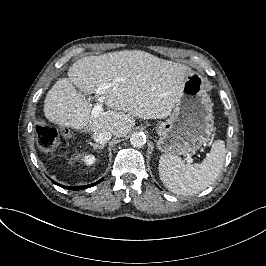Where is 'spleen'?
I'll return each mask as SVG.
<instances>
[{"label": "spleen", "instance_id": "3e777b00", "mask_svg": "<svg viewBox=\"0 0 266 266\" xmlns=\"http://www.w3.org/2000/svg\"><path fill=\"white\" fill-rule=\"evenodd\" d=\"M226 156L223 140L215 141L202 162L184 165L174 156L162 154L158 174L163 185L177 195H195L204 191L220 175Z\"/></svg>", "mask_w": 266, "mask_h": 266}]
</instances>
